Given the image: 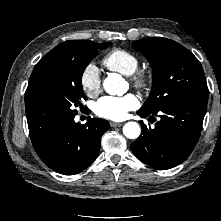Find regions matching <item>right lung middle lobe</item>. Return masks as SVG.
Masks as SVG:
<instances>
[{"label":"right lung middle lobe","instance_id":"dd1d6c3e","mask_svg":"<svg viewBox=\"0 0 221 221\" xmlns=\"http://www.w3.org/2000/svg\"><path fill=\"white\" fill-rule=\"evenodd\" d=\"M110 44L81 40L51 50L31 74L30 99L53 102L70 109L82 106L81 100L87 99L81 83L83 72L98 54V49L104 50Z\"/></svg>","mask_w":221,"mask_h":221}]
</instances>
